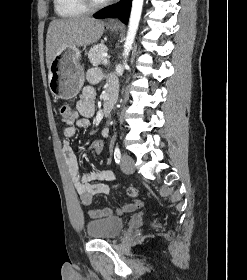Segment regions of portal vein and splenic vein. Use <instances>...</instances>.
Masks as SVG:
<instances>
[{"instance_id":"1","label":"portal vein and splenic vein","mask_w":247,"mask_h":280,"mask_svg":"<svg viewBox=\"0 0 247 280\" xmlns=\"http://www.w3.org/2000/svg\"><path fill=\"white\" fill-rule=\"evenodd\" d=\"M103 63H104V64H108V63H109V60H108V59H105V60L103 61Z\"/></svg>"}]
</instances>
